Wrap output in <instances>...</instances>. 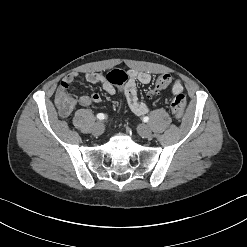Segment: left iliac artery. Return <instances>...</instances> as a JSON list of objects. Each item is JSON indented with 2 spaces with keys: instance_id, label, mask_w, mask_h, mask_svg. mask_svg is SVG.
<instances>
[{
  "instance_id": "obj_1",
  "label": "left iliac artery",
  "mask_w": 247,
  "mask_h": 247,
  "mask_svg": "<svg viewBox=\"0 0 247 247\" xmlns=\"http://www.w3.org/2000/svg\"><path fill=\"white\" fill-rule=\"evenodd\" d=\"M143 121H144V122H148V121H149V117H148V116H145V117L143 118Z\"/></svg>"
}]
</instances>
